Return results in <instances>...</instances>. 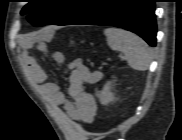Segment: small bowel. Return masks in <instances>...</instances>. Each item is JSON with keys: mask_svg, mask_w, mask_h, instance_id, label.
Wrapping results in <instances>:
<instances>
[{"mask_svg": "<svg viewBox=\"0 0 182 140\" xmlns=\"http://www.w3.org/2000/svg\"><path fill=\"white\" fill-rule=\"evenodd\" d=\"M51 32H44V39L50 38ZM53 60L57 64L65 63V56L61 52L53 53ZM25 66L30 79L36 84L39 92L46 98L55 110H64L66 115L76 122L91 123L97 112L95 97L85 90V85L95 84L102 79V72L88 68L81 58L68 64L70 69L68 97L55 83L48 81L47 74L37 61L26 55Z\"/></svg>", "mask_w": 182, "mask_h": 140, "instance_id": "1", "label": "small bowel"}]
</instances>
